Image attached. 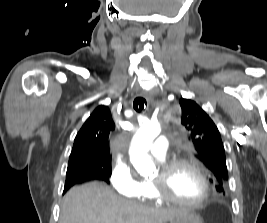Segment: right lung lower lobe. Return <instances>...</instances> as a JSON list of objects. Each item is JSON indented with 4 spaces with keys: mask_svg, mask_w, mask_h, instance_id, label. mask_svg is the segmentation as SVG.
Listing matches in <instances>:
<instances>
[{
    "mask_svg": "<svg viewBox=\"0 0 267 223\" xmlns=\"http://www.w3.org/2000/svg\"><path fill=\"white\" fill-rule=\"evenodd\" d=\"M92 179L105 181L103 174L99 172H94V171L82 170V171H76L74 173L66 175L64 192H66L74 184L81 183L86 180H92Z\"/></svg>",
    "mask_w": 267,
    "mask_h": 223,
    "instance_id": "obj_1",
    "label": "right lung lower lobe"
}]
</instances>
